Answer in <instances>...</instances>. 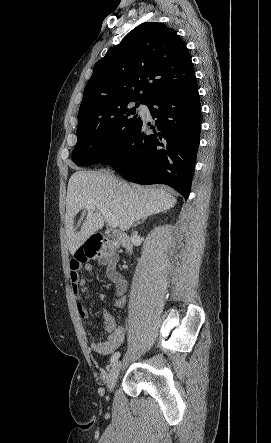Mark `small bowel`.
I'll use <instances>...</instances> for the list:
<instances>
[{
	"mask_svg": "<svg viewBox=\"0 0 271 443\" xmlns=\"http://www.w3.org/2000/svg\"><path fill=\"white\" fill-rule=\"evenodd\" d=\"M83 268L85 272L92 271V265L89 263H79L75 259L70 262V281L73 292L76 298V306L78 315L82 320H86L89 317L88 310L83 303V297L90 299L89 289L86 280L81 278L78 274L79 270ZM106 274L110 281L113 282L115 287V302L114 305L117 308L122 307L126 302V289L127 282L125 278L116 271L114 264L107 263ZM103 328L105 336L100 340L91 339L90 348L92 351L101 354L108 355L117 350L125 341L126 328L124 325L117 324L116 318L109 311L104 312L103 316Z\"/></svg>",
	"mask_w": 271,
	"mask_h": 443,
	"instance_id": "obj_1",
	"label": "small bowel"
}]
</instances>
